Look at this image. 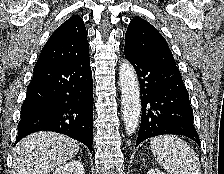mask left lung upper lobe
I'll return each mask as SVG.
<instances>
[{
    "instance_id": "left-lung-upper-lobe-1",
    "label": "left lung upper lobe",
    "mask_w": 224,
    "mask_h": 174,
    "mask_svg": "<svg viewBox=\"0 0 224 174\" xmlns=\"http://www.w3.org/2000/svg\"><path fill=\"white\" fill-rule=\"evenodd\" d=\"M124 50L145 58H164L175 63L164 37L146 20H131L125 36Z\"/></svg>"
}]
</instances>
